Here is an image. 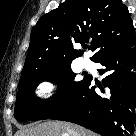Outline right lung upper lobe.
<instances>
[{
	"mask_svg": "<svg viewBox=\"0 0 136 136\" xmlns=\"http://www.w3.org/2000/svg\"><path fill=\"white\" fill-rule=\"evenodd\" d=\"M135 34L128 8L121 0H67L43 15L34 26L21 78L71 64L81 56L73 44L91 39L95 54L123 43Z\"/></svg>",
	"mask_w": 136,
	"mask_h": 136,
	"instance_id": "right-lung-upper-lobe-1",
	"label": "right lung upper lobe"
}]
</instances>
